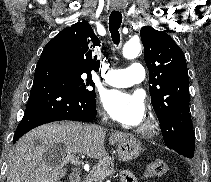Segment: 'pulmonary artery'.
Instances as JSON below:
<instances>
[{"label": "pulmonary artery", "instance_id": "e3ab8cb5", "mask_svg": "<svg viewBox=\"0 0 211 182\" xmlns=\"http://www.w3.org/2000/svg\"><path fill=\"white\" fill-rule=\"evenodd\" d=\"M145 69L140 63H133L126 69L109 70L105 76L107 84L115 87H127L144 80Z\"/></svg>", "mask_w": 211, "mask_h": 182}]
</instances>
